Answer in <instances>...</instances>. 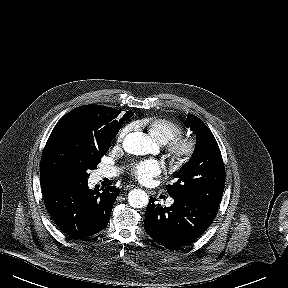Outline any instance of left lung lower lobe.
<instances>
[{"mask_svg":"<svg viewBox=\"0 0 288 288\" xmlns=\"http://www.w3.org/2000/svg\"><path fill=\"white\" fill-rule=\"evenodd\" d=\"M151 198L145 211L146 233L169 249H180L199 238L213 222L218 209L190 199L174 198L170 207Z\"/></svg>","mask_w":288,"mask_h":288,"instance_id":"left-lung-lower-lobe-1","label":"left lung lower lobe"}]
</instances>
